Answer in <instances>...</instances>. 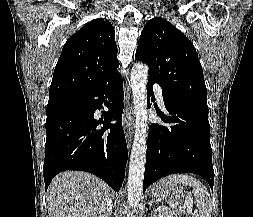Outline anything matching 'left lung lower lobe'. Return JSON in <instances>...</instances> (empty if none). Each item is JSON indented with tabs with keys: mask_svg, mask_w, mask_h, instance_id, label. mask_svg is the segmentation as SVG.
Instances as JSON below:
<instances>
[{
	"mask_svg": "<svg viewBox=\"0 0 253 217\" xmlns=\"http://www.w3.org/2000/svg\"><path fill=\"white\" fill-rule=\"evenodd\" d=\"M153 83H147L148 98L153 94ZM163 100L170 116H159L171 126L151 125L143 192L158 179L181 172H191L203 177L213 190L214 170L208 107L164 94ZM148 106L151 107L149 101Z\"/></svg>",
	"mask_w": 253,
	"mask_h": 217,
	"instance_id": "left-lung-lower-lobe-1",
	"label": "left lung lower lobe"
}]
</instances>
